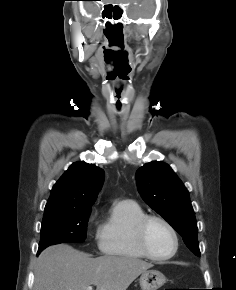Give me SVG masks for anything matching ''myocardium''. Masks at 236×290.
Listing matches in <instances>:
<instances>
[{
    "label": "myocardium",
    "mask_w": 236,
    "mask_h": 290,
    "mask_svg": "<svg viewBox=\"0 0 236 290\" xmlns=\"http://www.w3.org/2000/svg\"><path fill=\"white\" fill-rule=\"evenodd\" d=\"M162 223L171 233L174 240V248L172 252L166 256H157L151 252L147 243V229L151 222ZM135 236L140 251L149 259L154 261H166L173 258L179 249V236L174 226L165 218L159 215L146 214L135 226Z\"/></svg>",
    "instance_id": "1"
}]
</instances>
